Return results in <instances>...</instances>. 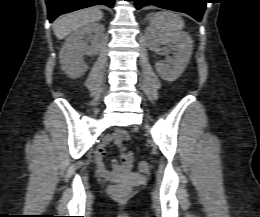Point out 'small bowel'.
Here are the masks:
<instances>
[{
    "label": "small bowel",
    "mask_w": 260,
    "mask_h": 217,
    "mask_svg": "<svg viewBox=\"0 0 260 217\" xmlns=\"http://www.w3.org/2000/svg\"><path fill=\"white\" fill-rule=\"evenodd\" d=\"M128 137L126 131L118 129L114 134L107 136L97 147L94 160L98 173L106 180H112L118 176L126 175L130 172L132 163L134 161V155L132 152H126L123 142ZM110 143H114L119 151V160L114 159L112 161V169L108 170L103 164V158L106 154V146Z\"/></svg>",
    "instance_id": "1"
}]
</instances>
